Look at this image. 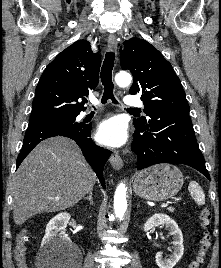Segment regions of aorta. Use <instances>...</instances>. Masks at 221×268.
Instances as JSON below:
<instances>
[{
  "instance_id": "obj_1",
  "label": "aorta",
  "mask_w": 221,
  "mask_h": 268,
  "mask_svg": "<svg viewBox=\"0 0 221 268\" xmlns=\"http://www.w3.org/2000/svg\"><path fill=\"white\" fill-rule=\"evenodd\" d=\"M115 82L120 87L129 86L132 82V77L129 73L120 72L115 76ZM127 187L124 183H120L115 191L114 195V212L115 216L120 220L123 218L127 210V199H126Z\"/></svg>"
}]
</instances>
